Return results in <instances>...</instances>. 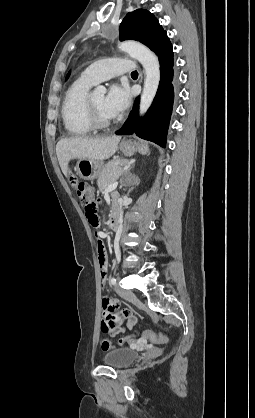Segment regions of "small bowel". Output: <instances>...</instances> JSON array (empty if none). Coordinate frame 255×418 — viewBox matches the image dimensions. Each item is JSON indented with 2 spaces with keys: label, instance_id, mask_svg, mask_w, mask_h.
I'll return each instance as SVG.
<instances>
[{
  "label": "small bowel",
  "instance_id": "obj_1",
  "mask_svg": "<svg viewBox=\"0 0 255 418\" xmlns=\"http://www.w3.org/2000/svg\"><path fill=\"white\" fill-rule=\"evenodd\" d=\"M99 240L96 242L95 254L98 256L99 265H100V283L101 287L105 288L107 281V257H106V247L107 242L105 240ZM103 307V321H102V331L104 333L110 332L112 334H117L121 331V323L123 320L127 319L128 325L131 326L136 322V317L128 309H119V302L113 298H103L102 300Z\"/></svg>",
  "mask_w": 255,
  "mask_h": 418
}]
</instances>
